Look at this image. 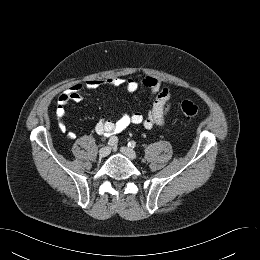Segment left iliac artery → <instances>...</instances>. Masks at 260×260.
Instances as JSON below:
<instances>
[{"label":"left iliac artery","mask_w":260,"mask_h":260,"mask_svg":"<svg viewBox=\"0 0 260 260\" xmlns=\"http://www.w3.org/2000/svg\"><path fill=\"white\" fill-rule=\"evenodd\" d=\"M128 147L135 148L136 147V142L135 141H130L128 143Z\"/></svg>","instance_id":"obj_1"}]
</instances>
